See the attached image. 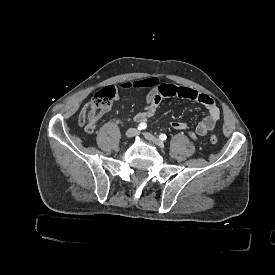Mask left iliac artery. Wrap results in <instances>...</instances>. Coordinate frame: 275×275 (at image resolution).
<instances>
[{
  "label": "left iliac artery",
  "instance_id": "left-iliac-artery-1",
  "mask_svg": "<svg viewBox=\"0 0 275 275\" xmlns=\"http://www.w3.org/2000/svg\"><path fill=\"white\" fill-rule=\"evenodd\" d=\"M159 138H160L162 141H164V140L167 139V136H166L165 134L161 133V134L159 135Z\"/></svg>",
  "mask_w": 275,
  "mask_h": 275
}]
</instances>
